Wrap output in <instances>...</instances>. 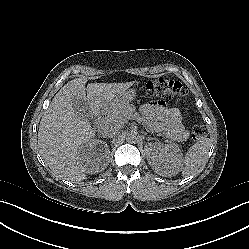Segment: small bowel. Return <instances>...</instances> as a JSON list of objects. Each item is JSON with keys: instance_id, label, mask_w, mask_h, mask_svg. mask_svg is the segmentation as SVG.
Returning a JSON list of instances; mask_svg holds the SVG:
<instances>
[{"instance_id": "small-bowel-1", "label": "small bowel", "mask_w": 249, "mask_h": 249, "mask_svg": "<svg viewBox=\"0 0 249 249\" xmlns=\"http://www.w3.org/2000/svg\"><path fill=\"white\" fill-rule=\"evenodd\" d=\"M144 112L151 117L166 122L169 130L176 135H183L178 127L175 125L173 118L170 116L169 108L164 102L154 101L144 106Z\"/></svg>"}]
</instances>
